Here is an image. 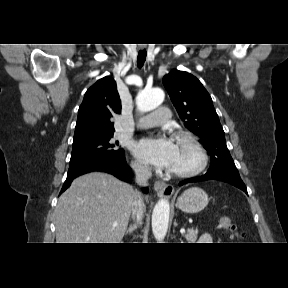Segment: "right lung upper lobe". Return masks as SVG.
<instances>
[{
	"label": "right lung upper lobe",
	"mask_w": 288,
	"mask_h": 288,
	"mask_svg": "<svg viewBox=\"0 0 288 288\" xmlns=\"http://www.w3.org/2000/svg\"><path fill=\"white\" fill-rule=\"evenodd\" d=\"M120 111L115 80L110 76L98 80L86 91L79 107L73 144L113 134L111 119Z\"/></svg>",
	"instance_id": "cb5924a9"
}]
</instances>
